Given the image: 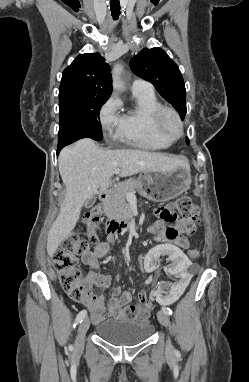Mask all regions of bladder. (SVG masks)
Instances as JSON below:
<instances>
[{
	"label": "bladder",
	"instance_id": "31cf9c89",
	"mask_svg": "<svg viewBox=\"0 0 249 382\" xmlns=\"http://www.w3.org/2000/svg\"><path fill=\"white\" fill-rule=\"evenodd\" d=\"M154 330L151 322H136L110 318L97 325L98 336L118 346H130L145 341Z\"/></svg>",
	"mask_w": 249,
	"mask_h": 382
}]
</instances>
